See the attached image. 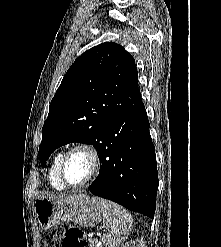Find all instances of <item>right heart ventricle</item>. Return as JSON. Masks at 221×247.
<instances>
[{"mask_svg": "<svg viewBox=\"0 0 221 247\" xmlns=\"http://www.w3.org/2000/svg\"><path fill=\"white\" fill-rule=\"evenodd\" d=\"M64 153L65 152L61 150L55 154L49 170L50 184L57 190H63L66 188L59 175L60 164Z\"/></svg>", "mask_w": 221, "mask_h": 247, "instance_id": "right-heart-ventricle-1", "label": "right heart ventricle"}]
</instances>
